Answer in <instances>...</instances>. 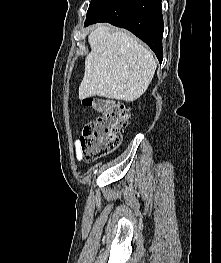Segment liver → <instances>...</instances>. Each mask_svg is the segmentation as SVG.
I'll return each mask as SVG.
<instances>
[{
  "label": "liver",
  "instance_id": "obj_1",
  "mask_svg": "<svg viewBox=\"0 0 221 263\" xmlns=\"http://www.w3.org/2000/svg\"><path fill=\"white\" fill-rule=\"evenodd\" d=\"M88 42L91 52L85 59L80 99L100 96L130 102L146 92L157 64L152 52L135 37L108 25H98Z\"/></svg>",
  "mask_w": 221,
  "mask_h": 263
}]
</instances>
